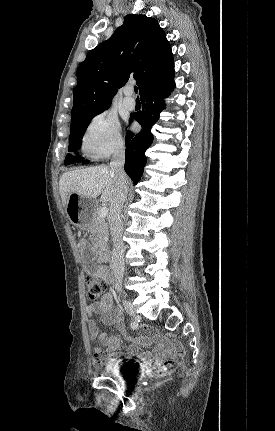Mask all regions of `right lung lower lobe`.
<instances>
[{"label": "right lung lower lobe", "instance_id": "1", "mask_svg": "<svg viewBox=\"0 0 275 431\" xmlns=\"http://www.w3.org/2000/svg\"><path fill=\"white\" fill-rule=\"evenodd\" d=\"M175 87L174 70L170 72L161 82L141 95L143 109L131 116L138 121L142 130L134 135L130 131L126 134V161L124 169L126 173L137 184L143 174L146 164L145 151L153 141L151 133L152 126L158 121L160 112L164 109V100Z\"/></svg>", "mask_w": 275, "mask_h": 431}]
</instances>
